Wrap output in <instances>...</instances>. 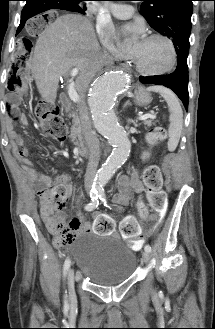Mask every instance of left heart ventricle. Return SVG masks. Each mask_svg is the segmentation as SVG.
<instances>
[{"label":"left heart ventricle","mask_w":215,"mask_h":329,"mask_svg":"<svg viewBox=\"0 0 215 329\" xmlns=\"http://www.w3.org/2000/svg\"><path fill=\"white\" fill-rule=\"evenodd\" d=\"M138 63L146 70L157 71L169 66L172 53L166 42L159 39H149L135 42L131 47Z\"/></svg>","instance_id":"obj_1"}]
</instances>
